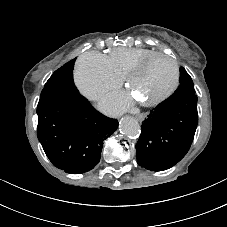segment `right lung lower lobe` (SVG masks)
<instances>
[{
	"instance_id": "98d812e1",
	"label": "right lung lower lobe",
	"mask_w": 227,
	"mask_h": 227,
	"mask_svg": "<svg viewBox=\"0 0 227 227\" xmlns=\"http://www.w3.org/2000/svg\"><path fill=\"white\" fill-rule=\"evenodd\" d=\"M38 139L51 163L70 174L93 169L100 161L103 141L118 127L80 94L40 97Z\"/></svg>"
}]
</instances>
